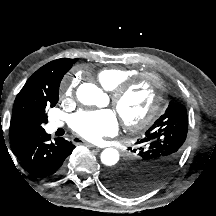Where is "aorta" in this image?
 <instances>
[{"label":"aorta","mask_w":216,"mask_h":216,"mask_svg":"<svg viewBox=\"0 0 216 216\" xmlns=\"http://www.w3.org/2000/svg\"><path fill=\"white\" fill-rule=\"evenodd\" d=\"M78 100L85 105H96L103 98L104 93L94 84L83 83L76 92ZM119 161V152L115 148H106L101 153V162L105 166H114Z\"/></svg>","instance_id":"obj_1"}]
</instances>
